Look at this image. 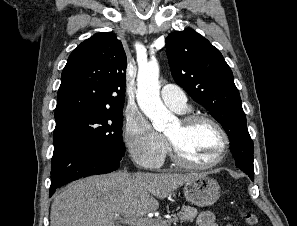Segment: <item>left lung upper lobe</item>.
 <instances>
[{
    "label": "left lung upper lobe",
    "mask_w": 297,
    "mask_h": 226,
    "mask_svg": "<svg viewBox=\"0 0 297 226\" xmlns=\"http://www.w3.org/2000/svg\"><path fill=\"white\" fill-rule=\"evenodd\" d=\"M166 49L176 83L225 129L235 165L241 170L254 169L253 141L247 129L240 94L220 51L190 28L170 33L166 38Z\"/></svg>",
    "instance_id": "left-lung-upper-lobe-1"
}]
</instances>
